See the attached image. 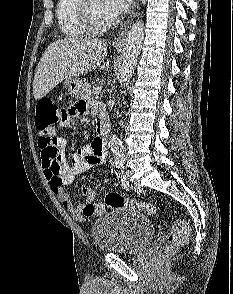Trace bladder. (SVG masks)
<instances>
[{"label": "bladder", "mask_w": 233, "mask_h": 294, "mask_svg": "<svg viewBox=\"0 0 233 294\" xmlns=\"http://www.w3.org/2000/svg\"><path fill=\"white\" fill-rule=\"evenodd\" d=\"M155 235L152 222L141 212L118 207L95 220L92 237L96 246L118 254H138Z\"/></svg>", "instance_id": "bladder-1"}]
</instances>
